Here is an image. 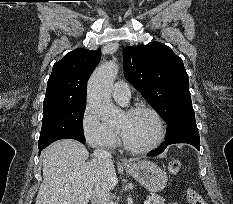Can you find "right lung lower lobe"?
<instances>
[{"label": "right lung lower lobe", "mask_w": 233, "mask_h": 204, "mask_svg": "<svg viewBox=\"0 0 233 204\" xmlns=\"http://www.w3.org/2000/svg\"><path fill=\"white\" fill-rule=\"evenodd\" d=\"M75 140H77V139H75ZM79 142H81V143H85V141H81V140H78ZM47 147V146H46ZM45 147H41V148H39V150L41 151V150H43ZM40 154V153H39Z\"/></svg>", "instance_id": "right-lung-lower-lobe-1"}]
</instances>
